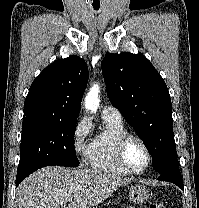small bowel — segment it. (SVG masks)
<instances>
[{
  "label": "small bowel",
  "instance_id": "obj_1",
  "mask_svg": "<svg viewBox=\"0 0 199 208\" xmlns=\"http://www.w3.org/2000/svg\"><path fill=\"white\" fill-rule=\"evenodd\" d=\"M127 208H135V207H133V206H130V207H127Z\"/></svg>",
  "mask_w": 199,
  "mask_h": 208
}]
</instances>
